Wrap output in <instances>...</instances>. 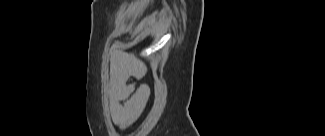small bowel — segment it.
Returning a JSON list of instances; mask_svg holds the SVG:
<instances>
[{
	"label": "small bowel",
	"mask_w": 325,
	"mask_h": 136,
	"mask_svg": "<svg viewBox=\"0 0 325 136\" xmlns=\"http://www.w3.org/2000/svg\"><path fill=\"white\" fill-rule=\"evenodd\" d=\"M144 70L121 52H113L111 59V83L109 103L112 120L116 125L127 126L133 122L145 108L150 96V87L146 83L136 87L130 82L140 79Z\"/></svg>",
	"instance_id": "c3829d8e"
}]
</instances>
